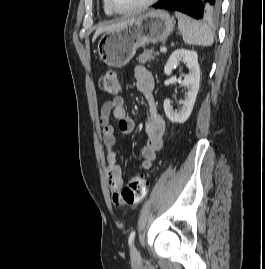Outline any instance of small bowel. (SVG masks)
I'll list each match as a JSON object with an SVG mask.
<instances>
[{"mask_svg": "<svg viewBox=\"0 0 265 269\" xmlns=\"http://www.w3.org/2000/svg\"><path fill=\"white\" fill-rule=\"evenodd\" d=\"M137 91L144 96L148 103L149 111L144 121L145 143L141 150L142 168L149 169L155 160L156 152L163 145L165 121L157 110L154 99V79L151 73L143 66L135 68ZM113 115L119 123L122 134H129L134 129L133 120L128 117L125 101L122 97H115L104 102L100 110L99 123L102 130L103 142L107 155V178L113 202L119 205L118 197L122 186L121 169L117 163V138L115 129L110 123Z\"/></svg>", "mask_w": 265, "mask_h": 269, "instance_id": "c3829d8e", "label": "small bowel"}]
</instances>
